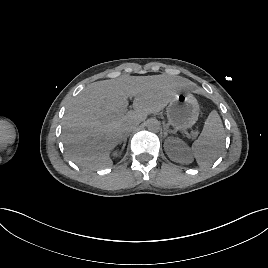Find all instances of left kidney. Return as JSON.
<instances>
[{
	"label": "left kidney",
	"mask_w": 268,
	"mask_h": 268,
	"mask_svg": "<svg viewBox=\"0 0 268 268\" xmlns=\"http://www.w3.org/2000/svg\"><path fill=\"white\" fill-rule=\"evenodd\" d=\"M164 146L172 161L182 164H189L193 161L189 147L182 140L171 137L165 141Z\"/></svg>",
	"instance_id": "left-kidney-1"
}]
</instances>
